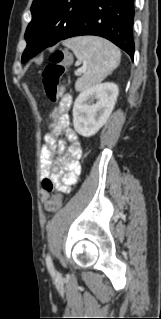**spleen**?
<instances>
[{
    "label": "spleen",
    "mask_w": 161,
    "mask_h": 319,
    "mask_svg": "<svg viewBox=\"0 0 161 319\" xmlns=\"http://www.w3.org/2000/svg\"><path fill=\"white\" fill-rule=\"evenodd\" d=\"M69 47L79 61H82L86 73L75 83V90L83 92L103 81L120 63L119 49L100 37L84 36L69 39L63 43Z\"/></svg>",
    "instance_id": "obj_1"
}]
</instances>
